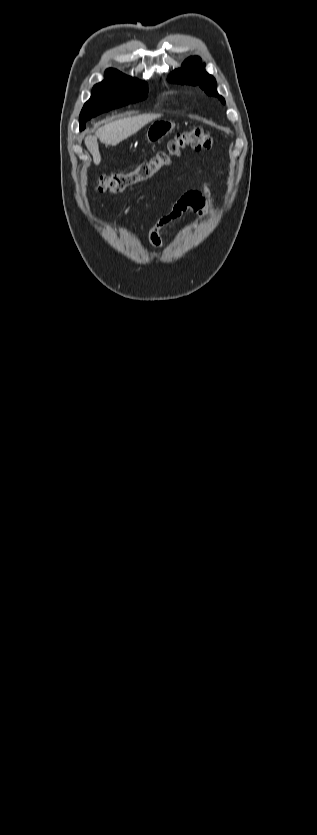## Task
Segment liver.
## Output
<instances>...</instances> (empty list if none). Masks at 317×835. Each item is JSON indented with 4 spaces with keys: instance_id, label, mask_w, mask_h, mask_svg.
Returning <instances> with one entry per match:
<instances>
[{
    "instance_id": "liver-1",
    "label": "liver",
    "mask_w": 317,
    "mask_h": 835,
    "mask_svg": "<svg viewBox=\"0 0 317 835\" xmlns=\"http://www.w3.org/2000/svg\"><path fill=\"white\" fill-rule=\"evenodd\" d=\"M156 118L157 117L155 115L150 114L120 118L105 123L104 126L100 127L96 131L95 135L87 136L85 138V145L93 156L94 164L99 165L101 162V155L97 141L98 138L100 142L105 145L116 146L123 140L136 134L141 128Z\"/></svg>"
}]
</instances>
